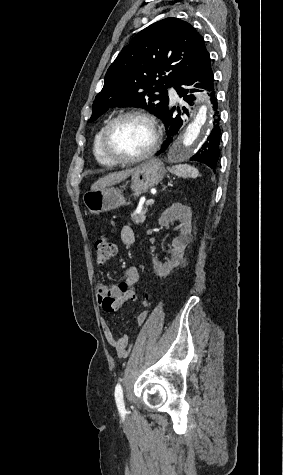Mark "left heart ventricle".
Masks as SVG:
<instances>
[{
  "instance_id": "b2bd125f",
  "label": "left heart ventricle",
  "mask_w": 283,
  "mask_h": 475,
  "mask_svg": "<svg viewBox=\"0 0 283 475\" xmlns=\"http://www.w3.org/2000/svg\"><path fill=\"white\" fill-rule=\"evenodd\" d=\"M153 140L151 125L144 119L128 117L113 127L108 144V153L113 157L133 158L145 153Z\"/></svg>"
}]
</instances>
